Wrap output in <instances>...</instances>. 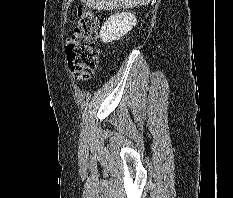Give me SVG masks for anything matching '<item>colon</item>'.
<instances>
[{
	"label": "colon",
	"instance_id": "colon-1",
	"mask_svg": "<svg viewBox=\"0 0 233 198\" xmlns=\"http://www.w3.org/2000/svg\"><path fill=\"white\" fill-rule=\"evenodd\" d=\"M73 33L66 39V53L70 70L77 80L88 79L98 64L95 40L98 22L94 12L87 6L78 8Z\"/></svg>",
	"mask_w": 233,
	"mask_h": 198
}]
</instances>
